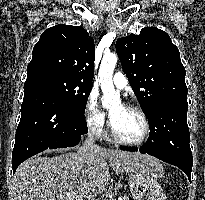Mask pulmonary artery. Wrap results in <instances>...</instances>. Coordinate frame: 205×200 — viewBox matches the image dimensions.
<instances>
[{
	"mask_svg": "<svg viewBox=\"0 0 205 200\" xmlns=\"http://www.w3.org/2000/svg\"><path fill=\"white\" fill-rule=\"evenodd\" d=\"M112 82L118 89H124L127 87L128 81L124 74L117 72L114 74Z\"/></svg>",
	"mask_w": 205,
	"mask_h": 200,
	"instance_id": "obj_1",
	"label": "pulmonary artery"
}]
</instances>
